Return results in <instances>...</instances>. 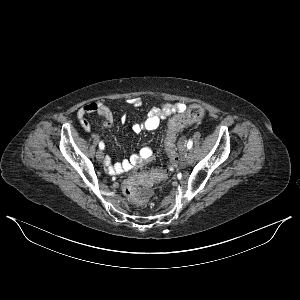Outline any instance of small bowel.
Listing matches in <instances>:
<instances>
[{
    "label": "small bowel",
    "instance_id": "c3829d8e",
    "mask_svg": "<svg viewBox=\"0 0 300 300\" xmlns=\"http://www.w3.org/2000/svg\"><path fill=\"white\" fill-rule=\"evenodd\" d=\"M129 103L134 107H139L142 104L140 98L135 97L129 100ZM186 109V104L178 102L174 104L165 103L158 107L152 108L145 119L142 122H137L133 124L132 130L135 133H140L143 130H155L157 129L161 121L167 117L173 115L174 113L181 112ZM98 114L104 119L105 126H111L114 122V115L111 108L101 102H90L82 106L77 111V118L80 122L81 127L89 132L91 130V125L87 120V115ZM121 121L124 123L126 121V114L121 115ZM152 150L148 147H142L137 154L132 155L129 159L122 162L113 163L110 157H107L104 161L106 169L112 174H120L128 171L134 167L141 166L145 162L152 159Z\"/></svg>",
    "mask_w": 300,
    "mask_h": 300
}]
</instances>
